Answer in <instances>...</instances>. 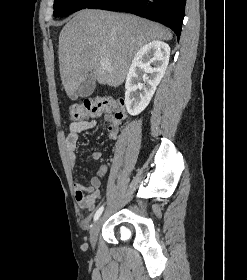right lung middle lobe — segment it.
<instances>
[{
	"instance_id": "1",
	"label": "right lung middle lobe",
	"mask_w": 247,
	"mask_h": 280,
	"mask_svg": "<svg viewBox=\"0 0 247 280\" xmlns=\"http://www.w3.org/2000/svg\"><path fill=\"white\" fill-rule=\"evenodd\" d=\"M97 0H55L54 16L63 17L73 12L88 8Z\"/></svg>"
}]
</instances>
